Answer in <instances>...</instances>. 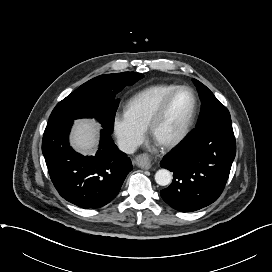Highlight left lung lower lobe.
Listing matches in <instances>:
<instances>
[{
	"mask_svg": "<svg viewBox=\"0 0 272 272\" xmlns=\"http://www.w3.org/2000/svg\"><path fill=\"white\" fill-rule=\"evenodd\" d=\"M235 154L231 118L197 126L161 161V167L174 173L161 197L181 212L210 205L225 187Z\"/></svg>",
	"mask_w": 272,
	"mask_h": 272,
	"instance_id": "obj_1",
	"label": "left lung lower lobe"
}]
</instances>
